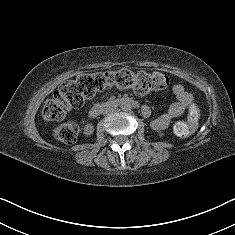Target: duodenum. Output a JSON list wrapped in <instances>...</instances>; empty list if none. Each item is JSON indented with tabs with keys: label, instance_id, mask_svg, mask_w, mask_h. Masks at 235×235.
Listing matches in <instances>:
<instances>
[{
	"label": "duodenum",
	"instance_id": "obj_1",
	"mask_svg": "<svg viewBox=\"0 0 235 235\" xmlns=\"http://www.w3.org/2000/svg\"><path fill=\"white\" fill-rule=\"evenodd\" d=\"M122 103H128V104H131L133 106H137V102L132 100V99H128V98H121V99H116V100H113V101H110L106 104H95L91 107L90 111H89V114L90 116L92 117H95L97 116L98 114L101 113V111L106 108V107H109V106H113V105H120Z\"/></svg>",
	"mask_w": 235,
	"mask_h": 235
}]
</instances>
